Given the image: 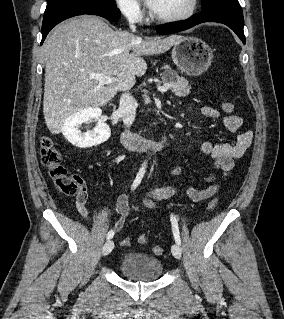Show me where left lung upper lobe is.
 Returning a JSON list of instances; mask_svg holds the SVG:
<instances>
[{
	"mask_svg": "<svg viewBox=\"0 0 284 319\" xmlns=\"http://www.w3.org/2000/svg\"><path fill=\"white\" fill-rule=\"evenodd\" d=\"M224 5L240 6L238 0H202V11L211 10Z\"/></svg>",
	"mask_w": 284,
	"mask_h": 319,
	"instance_id": "5c2ea615",
	"label": "left lung upper lobe"
}]
</instances>
